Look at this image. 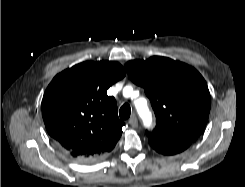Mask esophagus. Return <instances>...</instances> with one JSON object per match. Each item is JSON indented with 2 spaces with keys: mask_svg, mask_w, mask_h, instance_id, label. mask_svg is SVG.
<instances>
[{
  "mask_svg": "<svg viewBox=\"0 0 245 187\" xmlns=\"http://www.w3.org/2000/svg\"><path fill=\"white\" fill-rule=\"evenodd\" d=\"M128 123L131 125L132 128H136L138 126V119L136 116H132L129 120Z\"/></svg>",
  "mask_w": 245,
  "mask_h": 187,
  "instance_id": "esophagus-1",
  "label": "esophagus"
}]
</instances>
